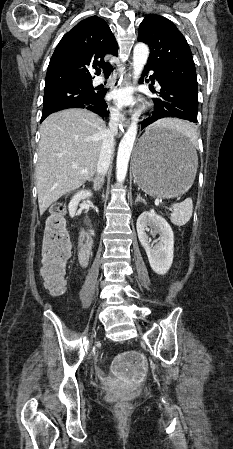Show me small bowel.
<instances>
[{
    "mask_svg": "<svg viewBox=\"0 0 233 449\" xmlns=\"http://www.w3.org/2000/svg\"><path fill=\"white\" fill-rule=\"evenodd\" d=\"M116 362L109 365V377H122L123 384H136L137 377H142L144 372L145 356L138 354L136 347H129L127 354H117ZM121 393H125L127 388L121 386L119 388Z\"/></svg>",
    "mask_w": 233,
    "mask_h": 449,
    "instance_id": "c3829d8e",
    "label": "small bowel"
}]
</instances>
